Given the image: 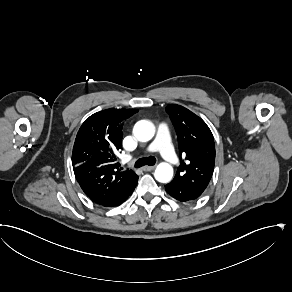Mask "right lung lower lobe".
<instances>
[{
    "instance_id": "right-lung-lower-lobe-1",
    "label": "right lung lower lobe",
    "mask_w": 292,
    "mask_h": 292,
    "mask_svg": "<svg viewBox=\"0 0 292 292\" xmlns=\"http://www.w3.org/2000/svg\"><path fill=\"white\" fill-rule=\"evenodd\" d=\"M137 183H138V179L134 183H132V185H130V187L125 191V193L121 197H119L118 199H116L108 204L102 205V206L114 207V206H118V205L122 204L132 194Z\"/></svg>"
}]
</instances>
